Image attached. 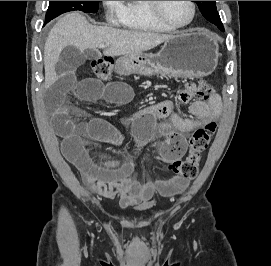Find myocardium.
Returning <instances> with one entry per match:
<instances>
[{"label": "myocardium", "mask_w": 271, "mask_h": 266, "mask_svg": "<svg viewBox=\"0 0 271 266\" xmlns=\"http://www.w3.org/2000/svg\"><path fill=\"white\" fill-rule=\"evenodd\" d=\"M191 7H192V15L190 20L186 24L178 25L173 22H171L163 13L162 11V1H148L149 9L151 10L153 16L162 24L169 27L173 30H179V29H185L192 25L196 18L197 13V6L194 1H189Z\"/></svg>", "instance_id": "myocardium-1"}]
</instances>
